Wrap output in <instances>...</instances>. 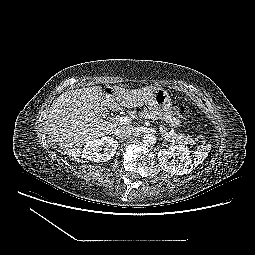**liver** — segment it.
Returning a JSON list of instances; mask_svg holds the SVG:
<instances>
[{"mask_svg": "<svg viewBox=\"0 0 255 255\" xmlns=\"http://www.w3.org/2000/svg\"><path fill=\"white\" fill-rule=\"evenodd\" d=\"M156 87L128 90L114 87L110 94L101 86L62 93L54 100L46 119L48 142L69 157H78L87 142L114 133L116 125L101 118L107 109L121 110L147 104ZM121 127V126H119Z\"/></svg>", "mask_w": 255, "mask_h": 255, "instance_id": "1", "label": "liver"}]
</instances>
